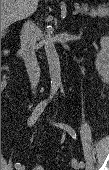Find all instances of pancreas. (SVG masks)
Returning a JSON list of instances; mask_svg holds the SVG:
<instances>
[{"label": "pancreas", "instance_id": "1", "mask_svg": "<svg viewBox=\"0 0 109 170\" xmlns=\"http://www.w3.org/2000/svg\"><path fill=\"white\" fill-rule=\"evenodd\" d=\"M76 9L81 13V14H88L90 17H106L109 15V9L105 6H99L98 9L91 8L89 9L87 6H75Z\"/></svg>", "mask_w": 109, "mask_h": 170}]
</instances>
